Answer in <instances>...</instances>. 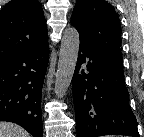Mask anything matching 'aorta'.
Masks as SVG:
<instances>
[{
    "mask_svg": "<svg viewBox=\"0 0 144 137\" xmlns=\"http://www.w3.org/2000/svg\"><path fill=\"white\" fill-rule=\"evenodd\" d=\"M79 33L74 27L67 28L61 40L58 68L55 78V93L58 98L65 96L75 71L79 51Z\"/></svg>",
    "mask_w": 144,
    "mask_h": 137,
    "instance_id": "obj_1",
    "label": "aorta"
}]
</instances>
